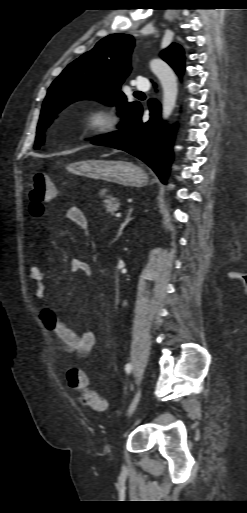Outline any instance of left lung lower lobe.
<instances>
[{"mask_svg":"<svg viewBox=\"0 0 247 513\" xmlns=\"http://www.w3.org/2000/svg\"><path fill=\"white\" fill-rule=\"evenodd\" d=\"M183 71L184 63L175 69L179 76ZM149 108L148 122H142V107L138 104L124 119L120 131L99 137L92 144L120 149L138 157L166 183L172 161L174 127H167L161 121V106L156 99L149 100Z\"/></svg>","mask_w":247,"mask_h":513,"instance_id":"1","label":"left lung lower lobe"}]
</instances>
